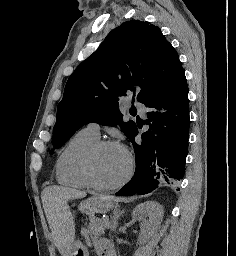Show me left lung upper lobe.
<instances>
[{"mask_svg":"<svg viewBox=\"0 0 236 256\" xmlns=\"http://www.w3.org/2000/svg\"><path fill=\"white\" fill-rule=\"evenodd\" d=\"M181 65L177 52L157 26L141 20L124 22L68 79L57 108L53 148H60L90 122L111 126L120 123L130 139L136 124L122 122L119 97L133 93L144 103ZM133 109L134 105L130 113Z\"/></svg>","mask_w":236,"mask_h":256,"instance_id":"left-lung-upper-lobe-1","label":"left lung upper lobe"}]
</instances>
